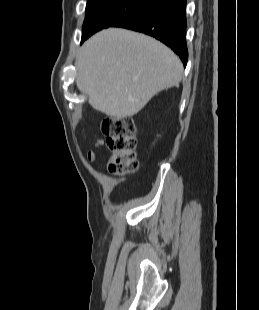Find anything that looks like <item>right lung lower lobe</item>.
I'll return each instance as SVG.
<instances>
[{"instance_id": "98d812e1", "label": "right lung lower lobe", "mask_w": 259, "mask_h": 310, "mask_svg": "<svg viewBox=\"0 0 259 310\" xmlns=\"http://www.w3.org/2000/svg\"><path fill=\"white\" fill-rule=\"evenodd\" d=\"M186 0H158L114 27H122L153 36L171 48L187 64Z\"/></svg>"}]
</instances>
